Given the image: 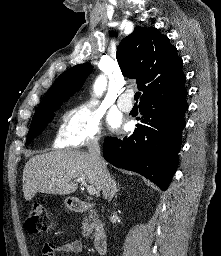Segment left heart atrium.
I'll return each instance as SVG.
<instances>
[{
	"label": "left heart atrium",
	"mask_w": 221,
	"mask_h": 256,
	"mask_svg": "<svg viewBox=\"0 0 221 256\" xmlns=\"http://www.w3.org/2000/svg\"><path fill=\"white\" fill-rule=\"evenodd\" d=\"M109 123L113 128H116L120 125V120L114 116H111L109 119Z\"/></svg>",
	"instance_id": "1"
}]
</instances>
